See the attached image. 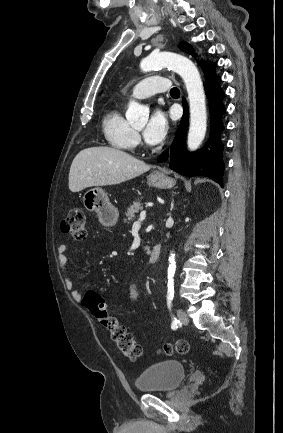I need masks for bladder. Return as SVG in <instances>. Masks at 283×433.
Instances as JSON below:
<instances>
[{
	"mask_svg": "<svg viewBox=\"0 0 283 433\" xmlns=\"http://www.w3.org/2000/svg\"><path fill=\"white\" fill-rule=\"evenodd\" d=\"M185 378V365L177 360L153 363L135 381V386L144 392L171 391L180 386Z\"/></svg>",
	"mask_w": 283,
	"mask_h": 433,
	"instance_id": "31cf9c89",
	"label": "bladder"
}]
</instances>
